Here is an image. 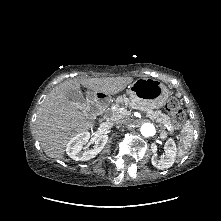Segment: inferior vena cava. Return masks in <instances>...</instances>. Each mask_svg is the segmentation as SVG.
<instances>
[{
    "label": "inferior vena cava",
    "mask_w": 221,
    "mask_h": 221,
    "mask_svg": "<svg viewBox=\"0 0 221 221\" xmlns=\"http://www.w3.org/2000/svg\"><path fill=\"white\" fill-rule=\"evenodd\" d=\"M123 123H125L124 120H118V121H116V124H117V125H121V124H123Z\"/></svg>",
    "instance_id": "obj_1"
}]
</instances>
